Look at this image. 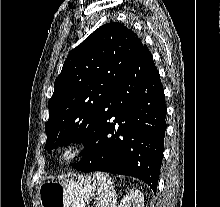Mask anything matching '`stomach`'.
Returning a JSON list of instances; mask_svg holds the SVG:
<instances>
[{
    "label": "stomach",
    "instance_id": "0dacf381",
    "mask_svg": "<svg viewBox=\"0 0 220 207\" xmlns=\"http://www.w3.org/2000/svg\"><path fill=\"white\" fill-rule=\"evenodd\" d=\"M97 182L88 175L47 180L39 187L41 207H86L97 194Z\"/></svg>",
    "mask_w": 220,
    "mask_h": 207
}]
</instances>
